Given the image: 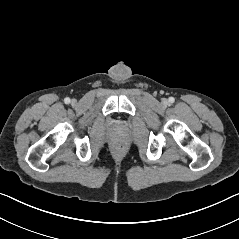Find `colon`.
I'll return each instance as SVG.
<instances>
[{"instance_id":"colon-1","label":"colon","mask_w":239,"mask_h":239,"mask_svg":"<svg viewBox=\"0 0 239 239\" xmlns=\"http://www.w3.org/2000/svg\"><path fill=\"white\" fill-rule=\"evenodd\" d=\"M114 150L118 155H121L125 151V146L121 142H116L114 144Z\"/></svg>"}]
</instances>
